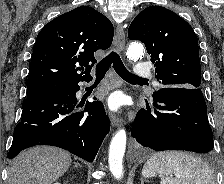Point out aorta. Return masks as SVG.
<instances>
[{"mask_svg": "<svg viewBox=\"0 0 224 184\" xmlns=\"http://www.w3.org/2000/svg\"><path fill=\"white\" fill-rule=\"evenodd\" d=\"M144 47L138 42H132L126 51L128 59L138 60L143 56ZM126 131L120 129L112 138L109 148V167L110 171L116 179L123 176L122 160L126 147Z\"/></svg>", "mask_w": 224, "mask_h": 184, "instance_id": "762f6f07", "label": "aorta"}]
</instances>
